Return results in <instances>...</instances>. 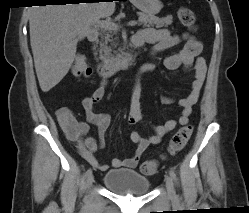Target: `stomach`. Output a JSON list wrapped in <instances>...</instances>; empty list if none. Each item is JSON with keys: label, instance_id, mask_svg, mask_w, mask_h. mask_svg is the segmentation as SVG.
<instances>
[{"label": "stomach", "instance_id": "1", "mask_svg": "<svg viewBox=\"0 0 249 213\" xmlns=\"http://www.w3.org/2000/svg\"><path fill=\"white\" fill-rule=\"evenodd\" d=\"M140 11L148 15L160 12L162 4L160 0H130Z\"/></svg>", "mask_w": 249, "mask_h": 213}]
</instances>
